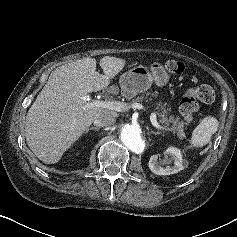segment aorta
<instances>
[{
  "instance_id": "762f6f07",
  "label": "aorta",
  "mask_w": 237,
  "mask_h": 237,
  "mask_svg": "<svg viewBox=\"0 0 237 237\" xmlns=\"http://www.w3.org/2000/svg\"><path fill=\"white\" fill-rule=\"evenodd\" d=\"M122 142L131 151L139 153L144 149V141L141 136V129L137 125H125L120 134Z\"/></svg>"
}]
</instances>
